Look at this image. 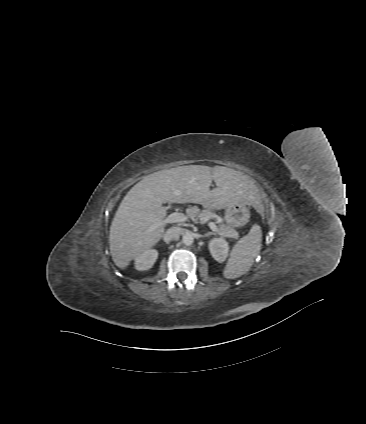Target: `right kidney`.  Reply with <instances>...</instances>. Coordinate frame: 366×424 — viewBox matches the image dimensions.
<instances>
[{
    "instance_id": "1",
    "label": "right kidney",
    "mask_w": 366,
    "mask_h": 424,
    "mask_svg": "<svg viewBox=\"0 0 366 424\" xmlns=\"http://www.w3.org/2000/svg\"><path fill=\"white\" fill-rule=\"evenodd\" d=\"M158 258L156 249H147L135 258V268L139 271L150 269Z\"/></svg>"
}]
</instances>
